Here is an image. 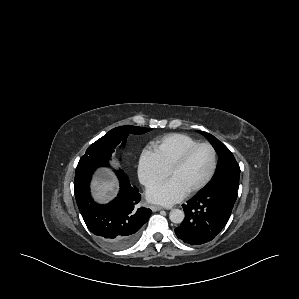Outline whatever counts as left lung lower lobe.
Listing matches in <instances>:
<instances>
[{
  "instance_id": "0a47b994",
  "label": "left lung lower lobe",
  "mask_w": 299,
  "mask_h": 299,
  "mask_svg": "<svg viewBox=\"0 0 299 299\" xmlns=\"http://www.w3.org/2000/svg\"><path fill=\"white\" fill-rule=\"evenodd\" d=\"M236 198L226 190L198 192L183 204L185 218L175 229L177 237L191 245L211 241L228 222Z\"/></svg>"
}]
</instances>
